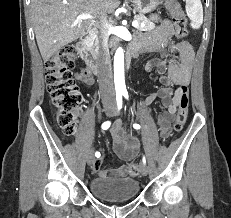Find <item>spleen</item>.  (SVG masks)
<instances>
[{
	"instance_id": "obj_1",
	"label": "spleen",
	"mask_w": 231,
	"mask_h": 218,
	"mask_svg": "<svg viewBox=\"0 0 231 218\" xmlns=\"http://www.w3.org/2000/svg\"><path fill=\"white\" fill-rule=\"evenodd\" d=\"M186 12L191 20V27L199 29L203 23V7L200 0H185Z\"/></svg>"
}]
</instances>
